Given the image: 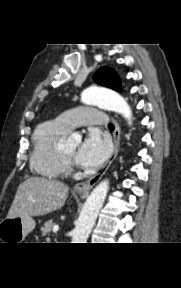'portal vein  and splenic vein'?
Returning <instances> with one entry per match:
<instances>
[{
    "label": "portal vein and splenic vein",
    "mask_w": 181,
    "mask_h": 288,
    "mask_svg": "<svg viewBox=\"0 0 181 288\" xmlns=\"http://www.w3.org/2000/svg\"><path fill=\"white\" fill-rule=\"evenodd\" d=\"M59 230V226L58 225H55L54 227H53V232H57Z\"/></svg>",
    "instance_id": "1"
}]
</instances>
